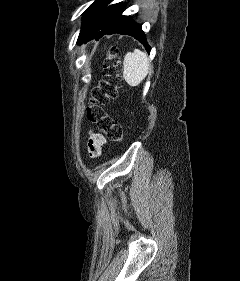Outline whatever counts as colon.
Instances as JSON below:
<instances>
[{
    "label": "colon",
    "instance_id": "5ec220e1",
    "mask_svg": "<svg viewBox=\"0 0 240 281\" xmlns=\"http://www.w3.org/2000/svg\"><path fill=\"white\" fill-rule=\"evenodd\" d=\"M120 60L116 47H111L104 61L102 77L91 94L90 103L86 109L87 119L113 142L123 139L122 127L105 111L104 106L115 99L118 89L122 86Z\"/></svg>",
    "mask_w": 240,
    "mask_h": 281
}]
</instances>
